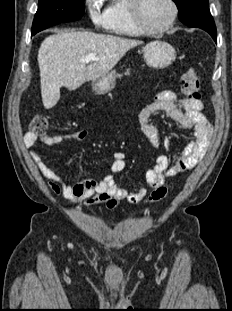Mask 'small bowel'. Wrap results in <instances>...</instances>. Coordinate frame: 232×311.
<instances>
[{"label": "small bowel", "mask_w": 232, "mask_h": 311, "mask_svg": "<svg viewBox=\"0 0 232 311\" xmlns=\"http://www.w3.org/2000/svg\"><path fill=\"white\" fill-rule=\"evenodd\" d=\"M203 103L200 100H189L172 90L160 91L139 113L138 122L145 138L154 147L160 144L157 128L150 122V117L158 112H164L181 127L193 132L190 141L182 154L173 162L166 155H157L155 164L146 172L145 186L157 188L162 186L168 177L195 167L205 156L212 137V127L202 113ZM88 132L80 129L69 133L45 137L41 141L46 146H55L66 140L82 141ZM39 137L27 132L23 143L27 149H33ZM32 159L42 176L47 180L49 188L56 194L68 199L71 205L84 204L90 208L100 203H106L108 209L115 208L119 201L131 204L141 202L146 196L145 188L126 190L119 187L114 176L126 168V158L122 152L113 153L110 172L101 179L87 178L83 182L69 185L55 171L54 165L46 164L40 154L32 152Z\"/></svg>", "instance_id": "c3829d8e"}]
</instances>
